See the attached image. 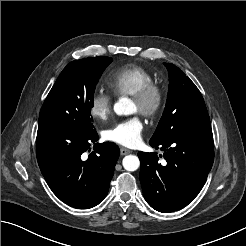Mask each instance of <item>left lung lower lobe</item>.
I'll use <instances>...</instances> for the list:
<instances>
[{
    "label": "left lung lower lobe",
    "instance_id": "left-lung-lower-lobe-1",
    "mask_svg": "<svg viewBox=\"0 0 246 246\" xmlns=\"http://www.w3.org/2000/svg\"><path fill=\"white\" fill-rule=\"evenodd\" d=\"M150 145L164 151L166 162H158L156 153H138L140 182L146 201L164 213L185 207L198 195L213 165L211 127L177 131Z\"/></svg>",
    "mask_w": 246,
    "mask_h": 246
}]
</instances>
